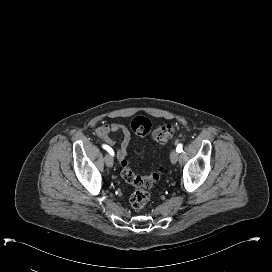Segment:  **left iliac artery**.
Returning a JSON list of instances; mask_svg holds the SVG:
<instances>
[{"label": "left iliac artery", "instance_id": "left-iliac-artery-1", "mask_svg": "<svg viewBox=\"0 0 272 272\" xmlns=\"http://www.w3.org/2000/svg\"><path fill=\"white\" fill-rule=\"evenodd\" d=\"M182 144H178V146L176 147V151L178 152V153H181L182 152Z\"/></svg>", "mask_w": 272, "mask_h": 272}]
</instances>
